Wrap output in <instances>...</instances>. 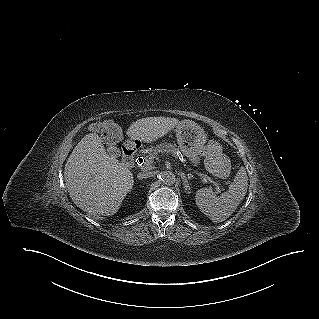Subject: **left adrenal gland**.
<instances>
[{
    "mask_svg": "<svg viewBox=\"0 0 319 319\" xmlns=\"http://www.w3.org/2000/svg\"><path fill=\"white\" fill-rule=\"evenodd\" d=\"M180 176L183 180L185 190L187 191L188 194H190V186H189L188 179H187L186 175L183 172H180Z\"/></svg>",
    "mask_w": 319,
    "mask_h": 319,
    "instance_id": "left-adrenal-gland-1",
    "label": "left adrenal gland"
}]
</instances>
